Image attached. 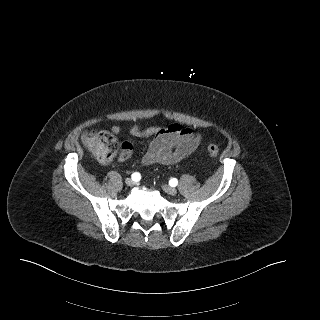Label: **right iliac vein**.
<instances>
[{"label": "right iliac vein", "mask_w": 320, "mask_h": 320, "mask_svg": "<svg viewBox=\"0 0 320 320\" xmlns=\"http://www.w3.org/2000/svg\"><path fill=\"white\" fill-rule=\"evenodd\" d=\"M125 183L128 185V186H133L134 185V181L131 179V178H127L125 180Z\"/></svg>", "instance_id": "right-iliac-vein-1"}]
</instances>
